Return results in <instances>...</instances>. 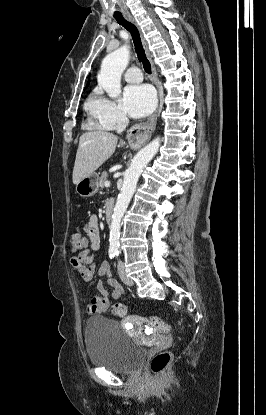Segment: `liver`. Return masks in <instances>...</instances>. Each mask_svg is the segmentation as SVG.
Masks as SVG:
<instances>
[{
    "label": "liver",
    "mask_w": 266,
    "mask_h": 415,
    "mask_svg": "<svg viewBox=\"0 0 266 415\" xmlns=\"http://www.w3.org/2000/svg\"><path fill=\"white\" fill-rule=\"evenodd\" d=\"M118 138L107 131H88L81 135L73 168V183L94 173L115 151Z\"/></svg>",
    "instance_id": "6515ba94"
}]
</instances>
